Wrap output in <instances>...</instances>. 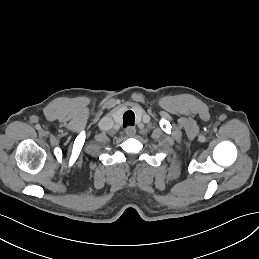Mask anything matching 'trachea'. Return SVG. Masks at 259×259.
<instances>
[{
	"mask_svg": "<svg viewBox=\"0 0 259 259\" xmlns=\"http://www.w3.org/2000/svg\"><path fill=\"white\" fill-rule=\"evenodd\" d=\"M135 121V115L133 111L128 110L124 113L123 116V127L126 128L127 126H133Z\"/></svg>",
	"mask_w": 259,
	"mask_h": 259,
	"instance_id": "obj_1",
	"label": "trachea"
}]
</instances>
